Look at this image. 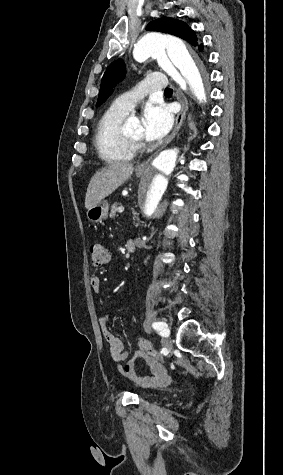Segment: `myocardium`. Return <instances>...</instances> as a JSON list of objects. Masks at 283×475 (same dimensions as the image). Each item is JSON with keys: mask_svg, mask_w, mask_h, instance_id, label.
<instances>
[{"mask_svg": "<svg viewBox=\"0 0 283 475\" xmlns=\"http://www.w3.org/2000/svg\"><path fill=\"white\" fill-rule=\"evenodd\" d=\"M144 146V139H131L122 133L120 139L114 144L113 150L118 155L127 153L130 156H136Z\"/></svg>", "mask_w": 283, "mask_h": 475, "instance_id": "1", "label": "myocardium"}]
</instances>
